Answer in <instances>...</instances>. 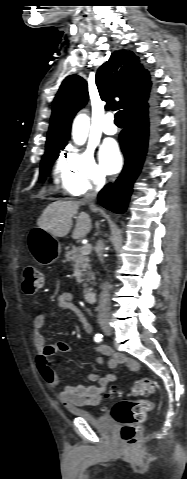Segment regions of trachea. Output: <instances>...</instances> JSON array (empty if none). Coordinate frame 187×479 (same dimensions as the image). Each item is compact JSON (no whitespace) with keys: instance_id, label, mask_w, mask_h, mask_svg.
<instances>
[{"instance_id":"obj_1","label":"trachea","mask_w":187,"mask_h":479,"mask_svg":"<svg viewBox=\"0 0 187 479\" xmlns=\"http://www.w3.org/2000/svg\"><path fill=\"white\" fill-rule=\"evenodd\" d=\"M114 122L116 125H124L123 111L120 110L115 114Z\"/></svg>"}]
</instances>
